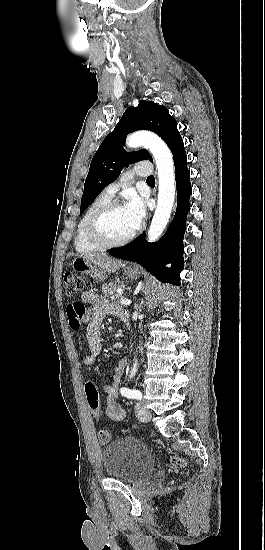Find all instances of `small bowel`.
I'll use <instances>...</instances> for the list:
<instances>
[{"label":"small bowel","mask_w":265,"mask_h":550,"mask_svg":"<svg viewBox=\"0 0 265 550\" xmlns=\"http://www.w3.org/2000/svg\"><path fill=\"white\" fill-rule=\"evenodd\" d=\"M83 302H89L91 307L84 310L79 317L81 307L78 303H72L67 307L68 320L77 318L79 324L73 327L74 338L80 337V327L86 324L87 347L79 344L78 348L83 352L82 363L91 365L103 354V344L101 342V326L107 315L119 317L123 322L127 321V312L119 305L107 300L105 297L93 292L86 291L82 295ZM82 303V302H81ZM83 304V303H82ZM127 359L122 358L114 368L112 380L104 384L103 389L106 393V416L112 421L124 420L126 413L123 407L117 403L121 381L127 367ZM100 417V416H95Z\"/></svg>","instance_id":"small-bowel-1"}]
</instances>
